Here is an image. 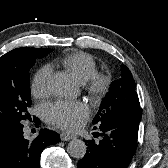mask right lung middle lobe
Segmentation results:
<instances>
[{"label":"right lung middle lobe","mask_w":168,"mask_h":168,"mask_svg":"<svg viewBox=\"0 0 168 168\" xmlns=\"http://www.w3.org/2000/svg\"><path fill=\"white\" fill-rule=\"evenodd\" d=\"M51 51L52 49L26 51L19 56L11 69L0 73V128L21 124L29 118V70L37 58H42Z\"/></svg>","instance_id":"right-lung-middle-lobe-1"}]
</instances>
